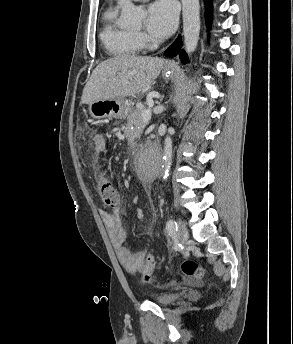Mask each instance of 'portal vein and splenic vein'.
I'll list each match as a JSON object with an SVG mask.
<instances>
[{"label":"portal vein and splenic vein","instance_id":"obj_1","mask_svg":"<svg viewBox=\"0 0 293 344\" xmlns=\"http://www.w3.org/2000/svg\"><path fill=\"white\" fill-rule=\"evenodd\" d=\"M151 119V109L142 110V120L144 123H148Z\"/></svg>","mask_w":293,"mask_h":344}]
</instances>
